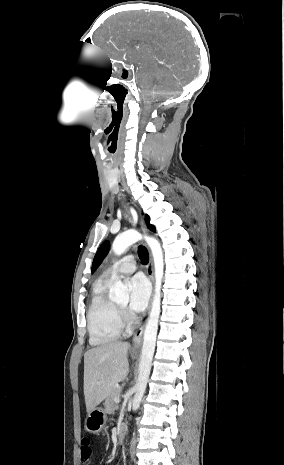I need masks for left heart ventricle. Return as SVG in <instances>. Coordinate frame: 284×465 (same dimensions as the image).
<instances>
[{
  "instance_id": "b2bd125f",
  "label": "left heart ventricle",
  "mask_w": 284,
  "mask_h": 465,
  "mask_svg": "<svg viewBox=\"0 0 284 465\" xmlns=\"http://www.w3.org/2000/svg\"><path fill=\"white\" fill-rule=\"evenodd\" d=\"M118 307L124 311H126V303H120V304H117Z\"/></svg>"
}]
</instances>
